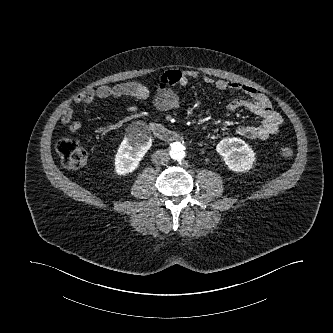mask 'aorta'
Instances as JSON below:
<instances>
[{"instance_id":"1","label":"aorta","mask_w":333,"mask_h":333,"mask_svg":"<svg viewBox=\"0 0 333 333\" xmlns=\"http://www.w3.org/2000/svg\"><path fill=\"white\" fill-rule=\"evenodd\" d=\"M171 151L173 158L178 161L185 157V146L183 143L177 142L172 144Z\"/></svg>"}]
</instances>
